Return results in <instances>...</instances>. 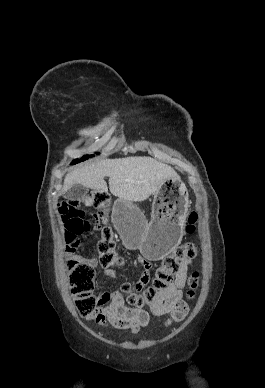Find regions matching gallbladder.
<instances>
[{
    "mask_svg": "<svg viewBox=\"0 0 265 388\" xmlns=\"http://www.w3.org/2000/svg\"><path fill=\"white\" fill-rule=\"evenodd\" d=\"M85 194H87V188H85V186H82V184H74V186L68 190L67 194H65L64 198L70 200V202H76V200H81Z\"/></svg>",
    "mask_w": 265,
    "mask_h": 388,
    "instance_id": "bac80fb5",
    "label": "gallbladder"
}]
</instances>
